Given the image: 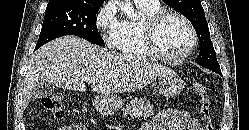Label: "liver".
Instances as JSON below:
<instances>
[{
	"mask_svg": "<svg viewBox=\"0 0 249 130\" xmlns=\"http://www.w3.org/2000/svg\"><path fill=\"white\" fill-rule=\"evenodd\" d=\"M173 72L154 60L120 54L92 45L76 36L55 39L32 55L24 80L22 106L39 81L84 92L86 79H96L93 91L103 96L141 89L156 78Z\"/></svg>",
	"mask_w": 249,
	"mask_h": 130,
	"instance_id": "liver-1",
	"label": "liver"
}]
</instances>
